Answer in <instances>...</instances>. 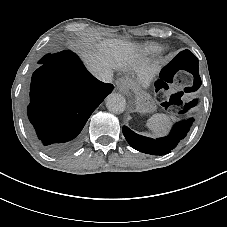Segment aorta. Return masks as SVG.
I'll list each match as a JSON object with an SVG mask.
<instances>
[{
	"label": "aorta",
	"instance_id": "obj_1",
	"mask_svg": "<svg viewBox=\"0 0 227 227\" xmlns=\"http://www.w3.org/2000/svg\"><path fill=\"white\" fill-rule=\"evenodd\" d=\"M106 107L110 112L120 114L126 108V100L121 94L111 93L106 98Z\"/></svg>",
	"mask_w": 227,
	"mask_h": 227
}]
</instances>
